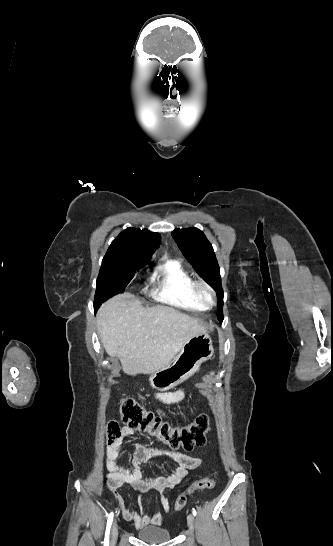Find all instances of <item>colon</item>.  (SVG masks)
<instances>
[{"mask_svg":"<svg viewBox=\"0 0 333 546\" xmlns=\"http://www.w3.org/2000/svg\"><path fill=\"white\" fill-rule=\"evenodd\" d=\"M120 417L125 427L137 430L157 438L173 449L182 448L192 451L206 443V435L209 431V418L206 414H199L193 422L181 427H171L159 416L147 410L143 405L131 398H123L120 401ZM121 434V428L117 421L108 423L107 440L114 443ZM216 484L215 478H202L195 481L185 492L180 494L174 503L177 511L182 510L188 495L199 490L212 489Z\"/></svg>","mask_w":333,"mask_h":546,"instance_id":"obj_1","label":"colon"}]
</instances>
